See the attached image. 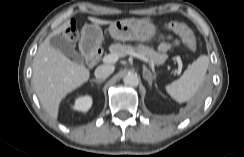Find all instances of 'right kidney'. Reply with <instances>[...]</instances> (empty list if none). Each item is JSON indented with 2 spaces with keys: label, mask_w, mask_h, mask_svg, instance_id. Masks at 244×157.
<instances>
[{
  "label": "right kidney",
  "mask_w": 244,
  "mask_h": 157,
  "mask_svg": "<svg viewBox=\"0 0 244 157\" xmlns=\"http://www.w3.org/2000/svg\"><path fill=\"white\" fill-rule=\"evenodd\" d=\"M92 106V97L86 95L75 100L73 109L81 112H87Z\"/></svg>",
  "instance_id": "obj_1"
}]
</instances>
